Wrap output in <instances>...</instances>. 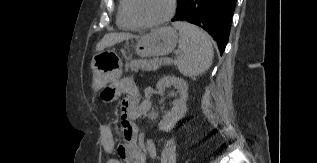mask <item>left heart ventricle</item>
I'll use <instances>...</instances> for the list:
<instances>
[{"label":"left heart ventricle","mask_w":317,"mask_h":163,"mask_svg":"<svg viewBox=\"0 0 317 163\" xmlns=\"http://www.w3.org/2000/svg\"><path fill=\"white\" fill-rule=\"evenodd\" d=\"M170 0H135V11L144 21L162 18L169 9Z\"/></svg>","instance_id":"left-heart-ventricle-1"}]
</instances>
